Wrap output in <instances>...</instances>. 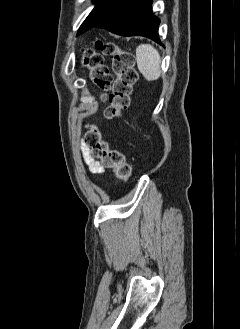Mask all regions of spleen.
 <instances>
[{
  "mask_svg": "<svg viewBox=\"0 0 240 329\" xmlns=\"http://www.w3.org/2000/svg\"><path fill=\"white\" fill-rule=\"evenodd\" d=\"M136 61L139 71L148 81L157 80L161 75L159 52L149 44L139 45L136 49Z\"/></svg>",
  "mask_w": 240,
  "mask_h": 329,
  "instance_id": "1",
  "label": "spleen"
}]
</instances>
